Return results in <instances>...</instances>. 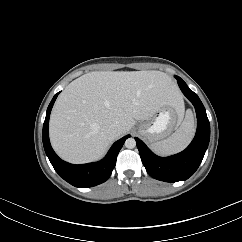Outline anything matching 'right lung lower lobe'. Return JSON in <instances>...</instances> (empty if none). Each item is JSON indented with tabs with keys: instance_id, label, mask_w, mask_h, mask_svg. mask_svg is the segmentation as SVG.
<instances>
[{
	"instance_id": "98d812e1",
	"label": "right lung lower lobe",
	"mask_w": 242,
	"mask_h": 242,
	"mask_svg": "<svg viewBox=\"0 0 242 242\" xmlns=\"http://www.w3.org/2000/svg\"><path fill=\"white\" fill-rule=\"evenodd\" d=\"M60 92L50 102L43 125V146L55 171L68 183L75 187H92L105 182L115 167L117 155L125 140L130 137L126 135L110 148L109 152L101 161L84 165H73L61 160L53 151L48 134L49 117L53 104Z\"/></svg>"
}]
</instances>
